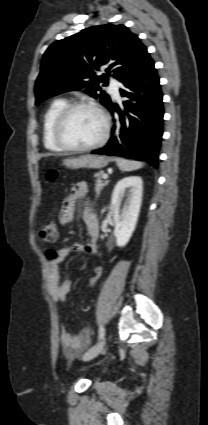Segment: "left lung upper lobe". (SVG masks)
<instances>
[{"label":"left lung upper lobe","instance_id":"obj_1","mask_svg":"<svg viewBox=\"0 0 208 425\" xmlns=\"http://www.w3.org/2000/svg\"><path fill=\"white\" fill-rule=\"evenodd\" d=\"M147 52L138 36L124 25L92 26L51 44L43 55L35 83L36 105L44 99L81 90L109 107L110 97L101 90L112 76L122 81L140 64ZM105 68L98 76L96 70Z\"/></svg>","mask_w":208,"mask_h":425}]
</instances>
